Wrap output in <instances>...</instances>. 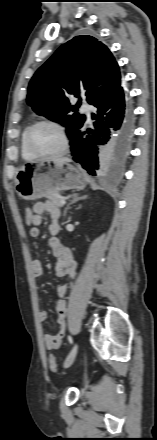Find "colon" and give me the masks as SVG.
Returning <instances> with one entry per match:
<instances>
[{"mask_svg": "<svg viewBox=\"0 0 157 440\" xmlns=\"http://www.w3.org/2000/svg\"><path fill=\"white\" fill-rule=\"evenodd\" d=\"M35 215L32 209L25 208L24 210V220L27 225L32 226L34 224ZM49 368L52 372L56 373L58 371L57 360L54 355L49 357Z\"/></svg>", "mask_w": 157, "mask_h": 440, "instance_id": "colon-1", "label": "colon"}]
</instances>
